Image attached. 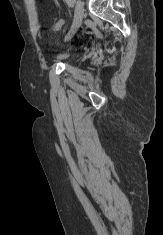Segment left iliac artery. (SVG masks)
<instances>
[{"mask_svg": "<svg viewBox=\"0 0 163 235\" xmlns=\"http://www.w3.org/2000/svg\"><path fill=\"white\" fill-rule=\"evenodd\" d=\"M70 7H73L74 0H65Z\"/></svg>", "mask_w": 163, "mask_h": 235, "instance_id": "obj_1", "label": "left iliac artery"}]
</instances>
